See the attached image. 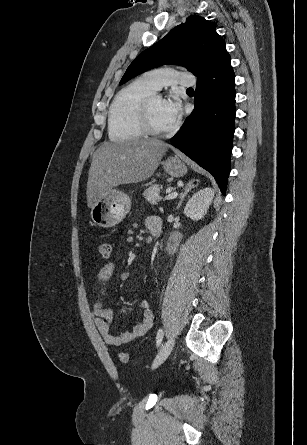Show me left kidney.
I'll return each instance as SVG.
<instances>
[{"instance_id": "1", "label": "left kidney", "mask_w": 307, "mask_h": 445, "mask_svg": "<svg viewBox=\"0 0 307 445\" xmlns=\"http://www.w3.org/2000/svg\"><path fill=\"white\" fill-rule=\"evenodd\" d=\"M214 194V188H210V186L198 190V192H195V194L189 198L184 208V214L190 216V218H194V220L203 218L209 208V204H211L214 198Z\"/></svg>"}]
</instances>
